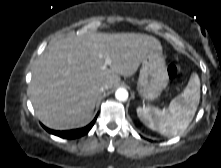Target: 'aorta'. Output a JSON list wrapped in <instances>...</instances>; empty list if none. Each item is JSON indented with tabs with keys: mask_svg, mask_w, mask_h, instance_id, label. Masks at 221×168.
Wrapping results in <instances>:
<instances>
[{
	"mask_svg": "<svg viewBox=\"0 0 221 168\" xmlns=\"http://www.w3.org/2000/svg\"><path fill=\"white\" fill-rule=\"evenodd\" d=\"M115 97L119 101H126L128 99V91L124 88H119L115 92Z\"/></svg>",
	"mask_w": 221,
	"mask_h": 168,
	"instance_id": "762f6f07",
	"label": "aorta"
}]
</instances>
